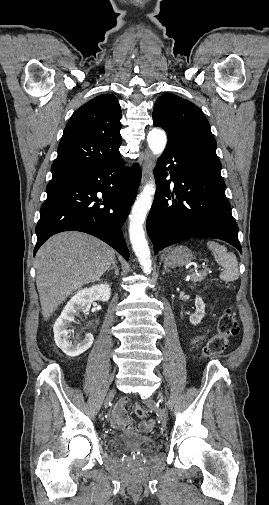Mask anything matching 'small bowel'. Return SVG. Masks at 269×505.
<instances>
[{
	"mask_svg": "<svg viewBox=\"0 0 269 505\" xmlns=\"http://www.w3.org/2000/svg\"><path fill=\"white\" fill-rule=\"evenodd\" d=\"M203 338H204L203 335L196 336L191 340V344L194 345L199 341H201ZM127 403L128 399L122 398L115 405L111 415V425L112 428L115 430H124L129 434H133L135 428L132 424V420L130 419L126 411ZM154 424H155L154 420L147 419L140 423L139 428L141 431H148L153 428Z\"/></svg>",
	"mask_w": 269,
	"mask_h": 505,
	"instance_id": "1",
	"label": "small bowel"
}]
</instances>
